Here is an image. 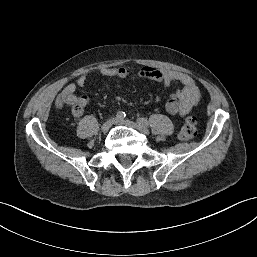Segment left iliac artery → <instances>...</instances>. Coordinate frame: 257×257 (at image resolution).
I'll return each mask as SVG.
<instances>
[{
	"label": "left iliac artery",
	"instance_id": "obj_1",
	"mask_svg": "<svg viewBox=\"0 0 257 257\" xmlns=\"http://www.w3.org/2000/svg\"><path fill=\"white\" fill-rule=\"evenodd\" d=\"M137 121L143 127H148L149 126V122L145 118H138Z\"/></svg>",
	"mask_w": 257,
	"mask_h": 257
}]
</instances>
